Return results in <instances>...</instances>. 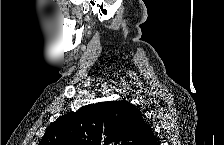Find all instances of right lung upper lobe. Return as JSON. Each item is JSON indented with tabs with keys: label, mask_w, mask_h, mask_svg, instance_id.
I'll use <instances>...</instances> for the list:
<instances>
[{
	"label": "right lung upper lobe",
	"mask_w": 224,
	"mask_h": 145,
	"mask_svg": "<svg viewBox=\"0 0 224 145\" xmlns=\"http://www.w3.org/2000/svg\"><path fill=\"white\" fill-rule=\"evenodd\" d=\"M40 145H158L142 113L128 101L84 106L59 117Z\"/></svg>",
	"instance_id": "obj_1"
}]
</instances>
